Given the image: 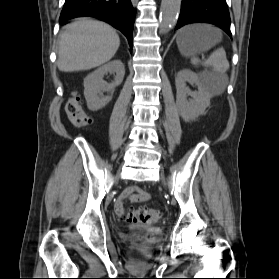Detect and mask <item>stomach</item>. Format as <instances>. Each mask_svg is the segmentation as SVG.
Instances as JSON below:
<instances>
[{
  "instance_id": "obj_1",
  "label": "stomach",
  "mask_w": 279,
  "mask_h": 279,
  "mask_svg": "<svg viewBox=\"0 0 279 279\" xmlns=\"http://www.w3.org/2000/svg\"><path fill=\"white\" fill-rule=\"evenodd\" d=\"M221 40V33L212 26L195 24L178 32L177 46L180 53L190 56L209 50Z\"/></svg>"
}]
</instances>
